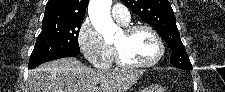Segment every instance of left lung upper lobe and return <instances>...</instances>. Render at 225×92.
<instances>
[{"instance_id": "1", "label": "left lung upper lobe", "mask_w": 225, "mask_h": 92, "mask_svg": "<svg viewBox=\"0 0 225 92\" xmlns=\"http://www.w3.org/2000/svg\"><path fill=\"white\" fill-rule=\"evenodd\" d=\"M123 3L162 36L172 54L170 63L178 68H192L176 26L174 12L168 0H122Z\"/></svg>"}]
</instances>
